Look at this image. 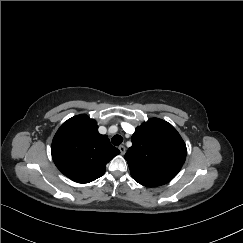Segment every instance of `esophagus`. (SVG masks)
Here are the masks:
<instances>
[{
    "mask_svg": "<svg viewBox=\"0 0 243 243\" xmlns=\"http://www.w3.org/2000/svg\"><path fill=\"white\" fill-rule=\"evenodd\" d=\"M118 148H119V150H120V153H121L122 155H124L125 152H126V148H125V146H124V145H120Z\"/></svg>",
    "mask_w": 243,
    "mask_h": 243,
    "instance_id": "1",
    "label": "esophagus"
}]
</instances>
